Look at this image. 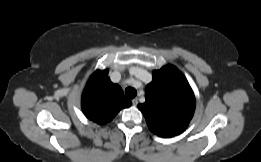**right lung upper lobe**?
Instances as JSON below:
<instances>
[{
  "label": "right lung upper lobe",
  "mask_w": 261,
  "mask_h": 162,
  "mask_svg": "<svg viewBox=\"0 0 261 162\" xmlns=\"http://www.w3.org/2000/svg\"><path fill=\"white\" fill-rule=\"evenodd\" d=\"M129 106L131 101L119 85L110 81L107 69L92 74L82 94V110L88 119L103 125Z\"/></svg>",
  "instance_id": "right-lung-upper-lobe-1"
}]
</instances>
